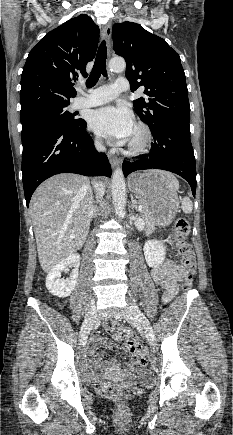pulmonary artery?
Instances as JSON below:
<instances>
[{
	"label": "pulmonary artery",
	"instance_id": "obj_1",
	"mask_svg": "<svg viewBox=\"0 0 233 435\" xmlns=\"http://www.w3.org/2000/svg\"><path fill=\"white\" fill-rule=\"evenodd\" d=\"M128 90V81L125 78H118L113 85H103L93 90L89 95H79L72 105L75 109L93 107L107 103L115 99L118 94Z\"/></svg>",
	"mask_w": 233,
	"mask_h": 435
}]
</instances>
